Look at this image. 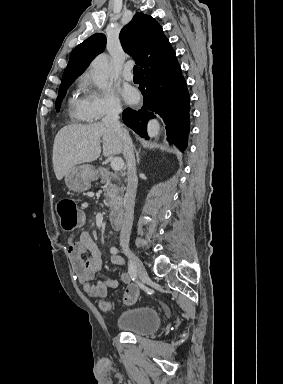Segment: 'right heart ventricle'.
<instances>
[{
	"mask_svg": "<svg viewBox=\"0 0 283 384\" xmlns=\"http://www.w3.org/2000/svg\"><path fill=\"white\" fill-rule=\"evenodd\" d=\"M80 89L72 92L67 101L68 114L74 122H87L85 115V97L79 95Z\"/></svg>",
	"mask_w": 283,
	"mask_h": 384,
	"instance_id": "1",
	"label": "right heart ventricle"
}]
</instances>
